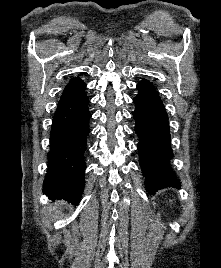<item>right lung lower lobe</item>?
<instances>
[{
    "mask_svg": "<svg viewBox=\"0 0 221 268\" xmlns=\"http://www.w3.org/2000/svg\"><path fill=\"white\" fill-rule=\"evenodd\" d=\"M88 97L58 103L50 132L48 170L43 192L52 199H64L73 204L81 201L84 187V153L90 133Z\"/></svg>",
    "mask_w": 221,
    "mask_h": 268,
    "instance_id": "right-lung-lower-lobe-1",
    "label": "right lung lower lobe"
}]
</instances>
